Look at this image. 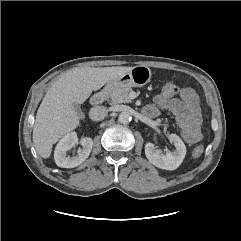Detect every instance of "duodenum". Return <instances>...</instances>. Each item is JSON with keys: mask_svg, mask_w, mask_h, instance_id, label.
<instances>
[{"mask_svg": "<svg viewBox=\"0 0 241 241\" xmlns=\"http://www.w3.org/2000/svg\"><path fill=\"white\" fill-rule=\"evenodd\" d=\"M111 87L109 85L105 86L101 91L95 93L91 98V103L94 106L100 105L110 93Z\"/></svg>", "mask_w": 241, "mask_h": 241, "instance_id": "1", "label": "duodenum"}]
</instances>
